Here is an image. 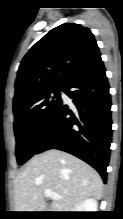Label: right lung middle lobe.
<instances>
[{
  "label": "right lung middle lobe",
  "mask_w": 123,
  "mask_h": 219,
  "mask_svg": "<svg viewBox=\"0 0 123 219\" xmlns=\"http://www.w3.org/2000/svg\"><path fill=\"white\" fill-rule=\"evenodd\" d=\"M63 89L64 86L44 89L13 104L18 164L36 154L45 129L62 103Z\"/></svg>",
  "instance_id": "1"
}]
</instances>
